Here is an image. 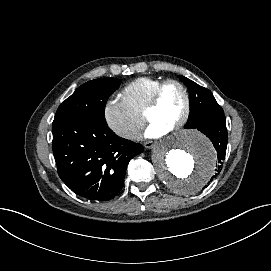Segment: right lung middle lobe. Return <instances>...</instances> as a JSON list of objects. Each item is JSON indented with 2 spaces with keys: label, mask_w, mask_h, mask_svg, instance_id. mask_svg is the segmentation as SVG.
<instances>
[{
  "label": "right lung middle lobe",
  "mask_w": 271,
  "mask_h": 271,
  "mask_svg": "<svg viewBox=\"0 0 271 271\" xmlns=\"http://www.w3.org/2000/svg\"><path fill=\"white\" fill-rule=\"evenodd\" d=\"M119 84L120 80L115 78H99L84 83L59 106L53 126L75 118L105 122L106 101Z\"/></svg>",
  "instance_id": "right-lung-middle-lobe-1"
}]
</instances>
